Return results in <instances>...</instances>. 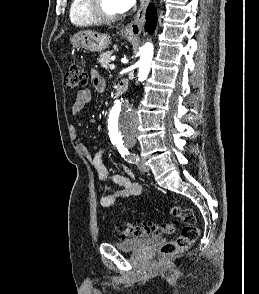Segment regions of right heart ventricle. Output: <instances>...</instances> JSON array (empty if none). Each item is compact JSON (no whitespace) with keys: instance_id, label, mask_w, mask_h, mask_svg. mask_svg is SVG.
<instances>
[{"instance_id":"right-heart-ventricle-1","label":"right heart ventricle","mask_w":259,"mask_h":294,"mask_svg":"<svg viewBox=\"0 0 259 294\" xmlns=\"http://www.w3.org/2000/svg\"><path fill=\"white\" fill-rule=\"evenodd\" d=\"M69 18L74 26L86 27L98 23L88 11V0H72Z\"/></svg>"}]
</instances>
